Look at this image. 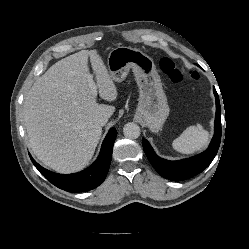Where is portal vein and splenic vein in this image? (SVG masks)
<instances>
[{
  "label": "portal vein and splenic vein",
  "mask_w": 249,
  "mask_h": 249,
  "mask_svg": "<svg viewBox=\"0 0 249 249\" xmlns=\"http://www.w3.org/2000/svg\"><path fill=\"white\" fill-rule=\"evenodd\" d=\"M89 87L91 90V94L96 97L97 96V86L95 85L94 81L91 79L89 81Z\"/></svg>",
  "instance_id": "1"
}]
</instances>
